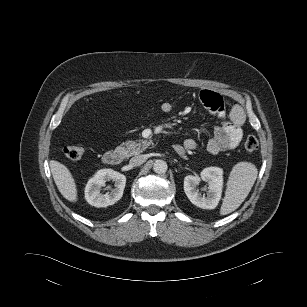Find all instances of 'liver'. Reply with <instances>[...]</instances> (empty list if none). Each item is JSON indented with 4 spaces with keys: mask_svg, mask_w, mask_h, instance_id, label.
I'll return each mask as SVG.
<instances>
[{
    "mask_svg": "<svg viewBox=\"0 0 307 307\" xmlns=\"http://www.w3.org/2000/svg\"><path fill=\"white\" fill-rule=\"evenodd\" d=\"M49 165L59 192L68 201L76 202L77 188L69 169L64 164L54 160H51Z\"/></svg>",
    "mask_w": 307,
    "mask_h": 307,
    "instance_id": "obj_1",
    "label": "liver"
}]
</instances>
